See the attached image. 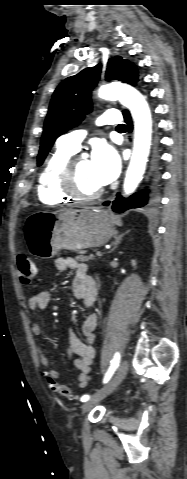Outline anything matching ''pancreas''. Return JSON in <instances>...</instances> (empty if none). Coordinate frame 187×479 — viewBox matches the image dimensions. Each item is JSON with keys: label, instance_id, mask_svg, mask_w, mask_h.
I'll list each match as a JSON object with an SVG mask.
<instances>
[{"label": "pancreas", "instance_id": "pancreas-1", "mask_svg": "<svg viewBox=\"0 0 187 479\" xmlns=\"http://www.w3.org/2000/svg\"><path fill=\"white\" fill-rule=\"evenodd\" d=\"M80 253H81V252H80ZM91 259H92V258H89V257L84 256V255H82V254H79V255L76 256V260L81 261V262H86V261H89V260H91Z\"/></svg>", "mask_w": 187, "mask_h": 479}]
</instances>
